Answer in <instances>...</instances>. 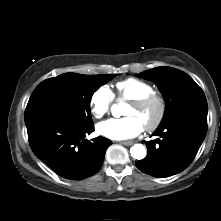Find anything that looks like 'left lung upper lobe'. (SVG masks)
<instances>
[{"label": "left lung upper lobe", "instance_id": "1", "mask_svg": "<svg viewBox=\"0 0 221 221\" xmlns=\"http://www.w3.org/2000/svg\"><path fill=\"white\" fill-rule=\"evenodd\" d=\"M139 76L155 82L164 95L166 109L161 124L183 111L207 107L202 89L189 75L178 69L157 67L144 71Z\"/></svg>", "mask_w": 221, "mask_h": 221}]
</instances>
